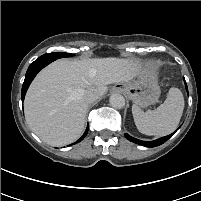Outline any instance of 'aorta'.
I'll return each instance as SVG.
<instances>
[{
	"mask_svg": "<svg viewBox=\"0 0 201 201\" xmlns=\"http://www.w3.org/2000/svg\"><path fill=\"white\" fill-rule=\"evenodd\" d=\"M110 105L114 108H123L125 106V99L120 94H112L109 99Z\"/></svg>",
	"mask_w": 201,
	"mask_h": 201,
	"instance_id": "aorta-1",
	"label": "aorta"
}]
</instances>
